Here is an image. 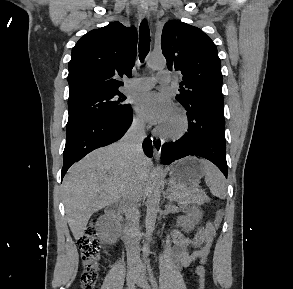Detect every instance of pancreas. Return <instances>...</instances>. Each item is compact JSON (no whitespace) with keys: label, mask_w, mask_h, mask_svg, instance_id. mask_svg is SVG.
<instances>
[{"label":"pancreas","mask_w":293,"mask_h":289,"mask_svg":"<svg viewBox=\"0 0 293 289\" xmlns=\"http://www.w3.org/2000/svg\"><path fill=\"white\" fill-rule=\"evenodd\" d=\"M169 191L168 198L171 202L201 205L209 200L205 192L197 187L173 184Z\"/></svg>","instance_id":"obj_1"}]
</instances>
